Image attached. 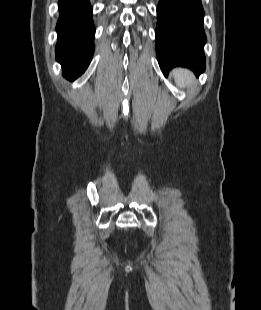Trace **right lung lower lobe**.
<instances>
[{
	"label": "right lung lower lobe",
	"mask_w": 261,
	"mask_h": 310,
	"mask_svg": "<svg viewBox=\"0 0 261 310\" xmlns=\"http://www.w3.org/2000/svg\"><path fill=\"white\" fill-rule=\"evenodd\" d=\"M56 59L63 76L73 81L88 67L93 56L95 28L89 0H59Z\"/></svg>",
	"instance_id": "98d812e1"
}]
</instances>
